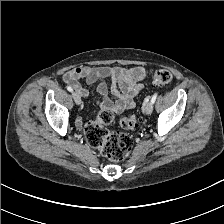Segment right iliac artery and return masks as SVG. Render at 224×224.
Segmentation results:
<instances>
[{
  "mask_svg": "<svg viewBox=\"0 0 224 224\" xmlns=\"http://www.w3.org/2000/svg\"><path fill=\"white\" fill-rule=\"evenodd\" d=\"M67 90H68L69 92H73V89H72L70 86H67Z\"/></svg>",
  "mask_w": 224,
  "mask_h": 224,
  "instance_id": "1",
  "label": "right iliac artery"
}]
</instances>
